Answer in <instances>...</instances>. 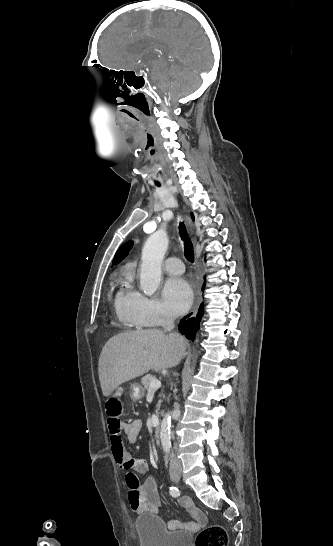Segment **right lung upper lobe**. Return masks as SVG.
I'll list each match as a JSON object with an SVG mask.
<instances>
[{"mask_svg":"<svg viewBox=\"0 0 333 546\" xmlns=\"http://www.w3.org/2000/svg\"><path fill=\"white\" fill-rule=\"evenodd\" d=\"M193 217V215H192ZM132 241H129L125 244H123L119 250L116 252L115 256H114V264H117L119 263L122 259H124L126 257V255L128 254V252L130 251L131 247H132Z\"/></svg>","mask_w":333,"mask_h":546,"instance_id":"cb5924a9","label":"right lung upper lobe"}]
</instances>
